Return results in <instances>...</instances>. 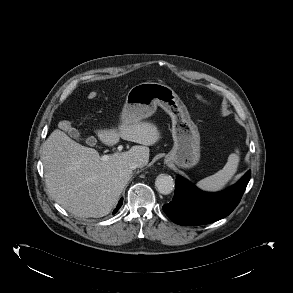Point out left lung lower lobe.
<instances>
[{
	"instance_id": "obj_1",
	"label": "left lung lower lobe",
	"mask_w": 293,
	"mask_h": 293,
	"mask_svg": "<svg viewBox=\"0 0 293 293\" xmlns=\"http://www.w3.org/2000/svg\"><path fill=\"white\" fill-rule=\"evenodd\" d=\"M249 170L235 185L218 193L200 191L178 176L172 201L163 211L176 224L204 225L228 216L238 205L250 180Z\"/></svg>"
}]
</instances>
